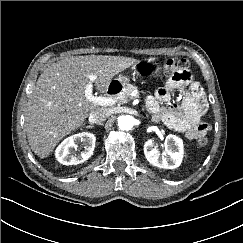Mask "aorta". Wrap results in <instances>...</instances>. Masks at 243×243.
Returning <instances> with one entry per match:
<instances>
[{
  "label": "aorta",
  "mask_w": 243,
  "mask_h": 243,
  "mask_svg": "<svg viewBox=\"0 0 243 243\" xmlns=\"http://www.w3.org/2000/svg\"><path fill=\"white\" fill-rule=\"evenodd\" d=\"M135 119L130 115H123L118 117V127L121 130H131L134 126Z\"/></svg>",
  "instance_id": "aorta-1"
}]
</instances>
